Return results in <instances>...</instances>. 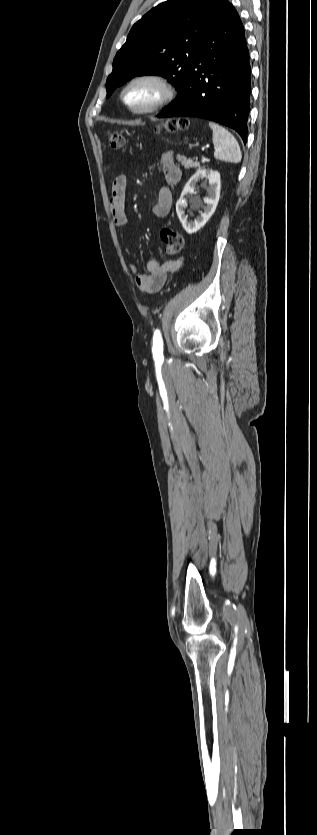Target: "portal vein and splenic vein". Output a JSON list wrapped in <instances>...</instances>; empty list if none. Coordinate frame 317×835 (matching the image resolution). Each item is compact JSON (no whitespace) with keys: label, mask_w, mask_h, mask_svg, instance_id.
I'll return each mask as SVG.
<instances>
[{"label":"portal vein and splenic vein","mask_w":317,"mask_h":835,"mask_svg":"<svg viewBox=\"0 0 317 835\" xmlns=\"http://www.w3.org/2000/svg\"><path fill=\"white\" fill-rule=\"evenodd\" d=\"M206 160H207V158H205V157H203V158H202V161H203V162H205Z\"/></svg>","instance_id":"18ae733b"}]
</instances>
